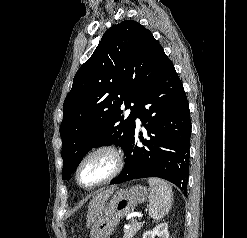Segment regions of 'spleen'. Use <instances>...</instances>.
<instances>
[{
	"mask_svg": "<svg viewBox=\"0 0 247 238\" xmlns=\"http://www.w3.org/2000/svg\"><path fill=\"white\" fill-rule=\"evenodd\" d=\"M151 192L149 195V216L154 220L162 219L170 210L173 201L171 186L159 178L148 179Z\"/></svg>",
	"mask_w": 247,
	"mask_h": 238,
	"instance_id": "obj_1",
	"label": "spleen"
}]
</instances>
